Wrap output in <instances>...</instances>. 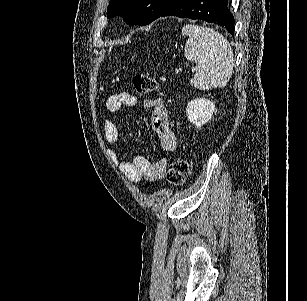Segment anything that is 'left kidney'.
Wrapping results in <instances>:
<instances>
[{
	"instance_id": "obj_1",
	"label": "left kidney",
	"mask_w": 307,
	"mask_h": 301,
	"mask_svg": "<svg viewBox=\"0 0 307 301\" xmlns=\"http://www.w3.org/2000/svg\"><path fill=\"white\" fill-rule=\"evenodd\" d=\"M215 110V104L208 98H194L186 106L187 118L195 124L196 128H201L212 118Z\"/></svg>"
}]
</instances>
